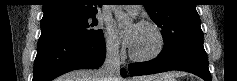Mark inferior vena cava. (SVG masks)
Here are the masks:
<instances>
[{"mask_svg":"<svg viewBox=\"0 0 237 81\" xmlns=\"http://www.w3.org/2000/svg\"><path fill=\"white\" fill-rule=\"evenodd\" d=\"M101 81H117L120 77V56L117 46L109 45L106 58L100 69Z\"/></svg>","mask_w":237,"mask_h":81,"instance_id":"602c4592","label":"inferior vena cava"}]
</instances>
